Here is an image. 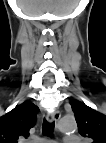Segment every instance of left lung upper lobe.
<instances>
[{
    "instance_id": "5c2ea615",
    "label": "left lung upper lobe",
    "mask_w": 106,
    "mask_h": 143,
    "mask_svg": "<svg viewBox=\"0 0 106 143\" xmlns=\"http://www.w3.org/2000/svg\"><path fill=\"white\" fill-rule=\"evenodd\" d=\"M70 104L79 133L91 138L93 143H106V115L77 100H73Z\"/></svg>"
}]
</instances>
